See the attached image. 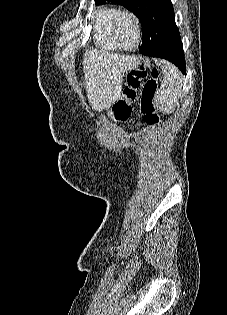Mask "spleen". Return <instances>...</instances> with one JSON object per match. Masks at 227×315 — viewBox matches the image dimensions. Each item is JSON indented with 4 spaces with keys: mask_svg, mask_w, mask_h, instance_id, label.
Here are the masks:
<instances>
[{
    "mask_svg": "<svg viewBox=\"0 0 227 315\" xmlns=\"http://www.w3.org/2000/svg\"><path fill=\"white\" fill-rule=\"evenodd\" d=\"M162 69L164 78L156 96L157 107L162 112L171 113L180 97L182 80L173 66L163 63Z\"/></svg>",
    "mask_w": 227,
    "mask_h": 315,
    "instance_id": "obj_1",
    "label": "spleen"
}]
</instances>
